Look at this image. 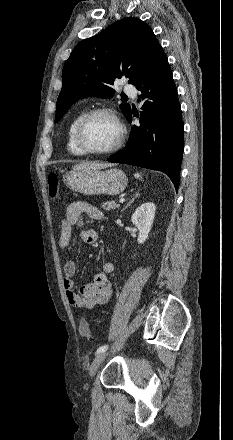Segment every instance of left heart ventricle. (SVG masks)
<instances>
[{
	"mask_svg": "<svg viewBox=\"0 0 233 440\" xmlns=\"http://www.w3.org/2000/svg\"><path fill=\"white\" fill-rule=\"evenodd\" d=\"M118 137L115 122L107 115L92 117L82 132V142L89 149L105 150L111 147Z\"/></svg>",
	"mask_w": 233,
	"mask_h": 440,
	"instance_id": "obj_1",
	"label": "left heart ventricle"
}]
</instances>
